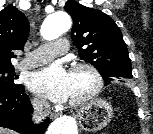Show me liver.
I'll use <instances>...</instances> for the list:
<instances>
[{"label":"liver","mask_w":153,"mask_h":134,"mask_svg":"<svg viewBox=\"0 0 153 134\" xmlns=\"http://www.w3.org/2000/svg\"><path fill=\"white\" fill-rule=\"evenodd\" d=\"M0 134H15L12 130L0 128Z\"/></svg>","instance_id":"6515ba94"}]
</instances>
